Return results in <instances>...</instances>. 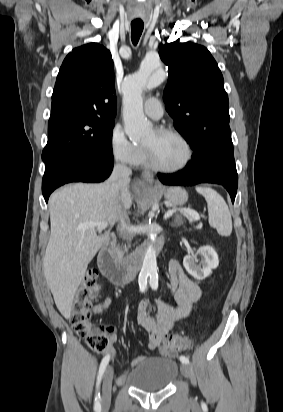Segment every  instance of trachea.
Returning <instances> with one entry per match:
<instances>
[{
	"label": "trachea",
	"mask_w": 283,
	"mask_h": 412,
	"mask_svg": "<svg viewBox=\"0 0 283 412\" xmlns=\"http://www.w3.org/2000/svg\"><path fill=\"white\" fill-rule=\"evenodd\" d=\"M144 28L143 22L131 23V40L134 45H137Z\"/></svg>",
	"instance_id": "3493384b"
}]
</instances>
